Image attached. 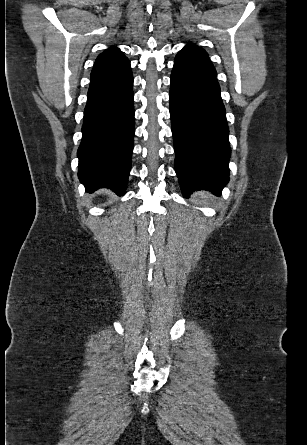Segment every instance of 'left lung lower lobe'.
<instances>
[{
	"label": "left lung lower lobe",
	"instance_id": "0a47b994",
	"mask_svg": "<svg viewBox=\"0 0 307 445\" xmlns=\"http://www.w3.org/2000/svg\"><path fill=\"white\" fill-rule=\"evenodd\" d=\"M170 114L175 170L183 196L201 189L220 196L229 180L231 150L216 75L177 55L171 74Z\"/></svg>",
	"mask_w": 307,
	"mask_h": 445
}]
</instances>
